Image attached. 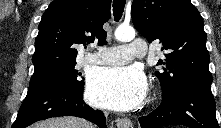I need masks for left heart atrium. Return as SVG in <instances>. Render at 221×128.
I'll list each match as a JSON object with an SVG mask.
<instances>
[{
    "instance_id": "1",
    "label": "left heart atrium",
    "mask_w": 221,
    "mask_h": 128,
    "mask_svg": "<svg viewBox=\"0 0 221 128\" xmlns=\"http://www.w3.org/2000/svg\"><path fill=\"white\" fill-rule=\"evenodd\" d=\"M145 95V77L134 67L101 68L88 79L87 96L100 107L129 111L138 107Z\"/></svg>"
}]
</instances>
